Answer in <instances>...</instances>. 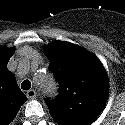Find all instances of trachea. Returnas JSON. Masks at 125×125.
I'll return each mask as SVG.
<instances>
[{"instance_id": "obj_1", "label": "trachea", "mask_w": 125, "mask_h": 125, "mask_svg": "<svg viewBox=\"0 0 125 125\" xmlns=\"http://www.w3.org/2000/svg\"><path fill=\"white\" fill-rule=\"evenodd\" d=\"M21 88L23 90H29L31 88V82L29 80H24L22 83H21Z\"/></svg>"}]
</instances>
